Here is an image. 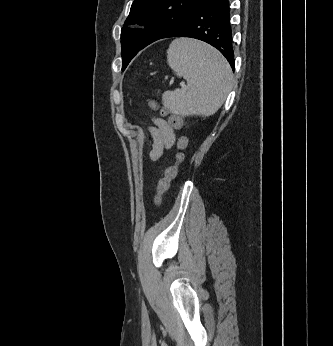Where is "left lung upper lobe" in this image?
<instances>
[{
  "instance_id": "1",
  "label": "left lung upper lobe",
  "mask_w": 333,
  "mask_h": 346,
  "mask_svg": "<svg viewBox=\"0 0 333 346\" xmlns=\"http://www.w3.org/2000/svg\"><path fill=\"white\" fill-rule=\"evenodd\" d=\"M204 0H134L125 25L145 24V29L124 27L121 33L122 69L144 47L160 39Z\"/></svg>"
}]
</instances>
